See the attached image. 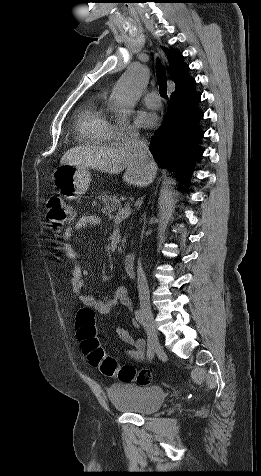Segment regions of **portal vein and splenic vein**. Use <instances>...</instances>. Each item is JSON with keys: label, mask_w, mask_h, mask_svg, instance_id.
<instances>
[{"label": "portal vein and splenic vein", "mask_w": 261, "mask_h": 476, "mask_svg": "<svg viewBox=\"0 0 261 476\" xmlns=\"http://www.w3.org/2000/svg\"><path fill=\"white\" fill-rule=\"evenodd\" d=\"M130 214H131L130 206L126 205L124 208L120 209L117 212L114 219L115 220H123V219L127 218Z\"/></svg>", "instance_id": "1"}]
</instances>
